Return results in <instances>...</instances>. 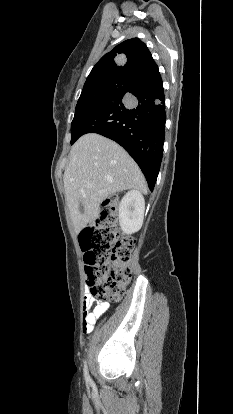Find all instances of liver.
Here are the masks:
<instances>
[{
	"instance_id": "6515ba94",
	"label": "liver",
	"mask_w": 233,
	"mask_h": 414,
	"mask_svg": "<svg viewBox=\"0 0 233 414\" xmlns=\"http://www.w3.org/2000/svg\"><path fill=\"white\" fill-rule=\"evenodd\" d=\"M63 182L77 232L98 218L100 204L110 195L129 189L147 193L135 161L120 145L97 133L83 135L72 146Z\"/></svg>"
}]
</instances>
